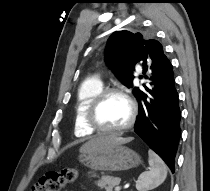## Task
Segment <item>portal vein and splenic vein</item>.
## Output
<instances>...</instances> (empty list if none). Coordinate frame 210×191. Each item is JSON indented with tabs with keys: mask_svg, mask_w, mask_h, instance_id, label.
<instances>
[{
	"mask_svg": "<svg viewBox=\"0 0 210 191\" xmlns=\"http://www.w3.org/2000/svg\"><path fill=\"white\" fill-rule=\"evenodd\" d=\"M120 190H121L120 186L115 187V191H120Z\"/></svg>",
	"mask_w": 210,
	"mask_h": 191,
	"instance_id": "obj_1",
	"label": "portal vein and splenic vein"
}]
</instances>
